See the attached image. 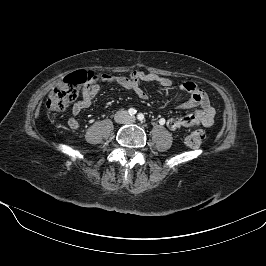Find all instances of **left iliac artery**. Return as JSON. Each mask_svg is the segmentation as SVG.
<instances>
[{
  "label": "left iliac artery",
  "instance_id": "obj_1",
  "mask_svg": "<svg viewBox=\"0 0 266 266\" xmlns=\"http://www.w3.org/2000/svg\"><path fill=\"white\" fill-rule=\"evenodd\" d=\"M137 118H138L139 121H143L144 120V115L142 113H139L137 115Z\"/></svg>",
  "mask_w": 266,
  "mask_h": 266
}]
</instances>
